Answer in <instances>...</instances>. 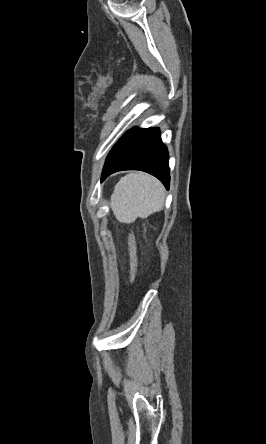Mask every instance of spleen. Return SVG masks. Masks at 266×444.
<instances>
[{"label":"spleen","instance_id":"spleen-1","mask_svg":"<svg viewBox=\"0 0 266 444\" xmlns=\"http://www.w3.org/2000/svg\"><path fill=\"white\" fill-rule=\"evenodd\" d=\"M162 184L154 177L134 172L122 177L111 196V208L123 223H132L138 217L147 218L164 205Z\"/></svg>","mask_w":266,"mask_h":444}]
</instances>
